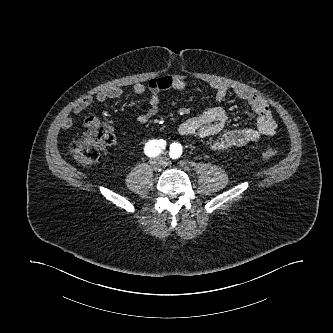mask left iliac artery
Returning a JSON list of instances; mask_svg holds the SVG:
<instances>
[{
  "mask_svg": "<svg viewBox=\"0 0 333 333\" xmlns=\"http://www.w3.org/2000/svg\"><path fill=\"white\" fill-rule=\"evenodd\" d=\"M181 153H182V147L179 144L174 143L170 145L169 155L172 159L179 158Z\"/></svg>",
  "mask_w": 333,
  "mask_h": 333,
  "instance_id": "1",
  "label": "left iliac artery"
}]
</instances>
